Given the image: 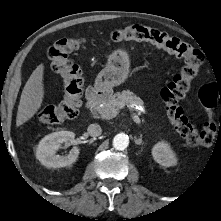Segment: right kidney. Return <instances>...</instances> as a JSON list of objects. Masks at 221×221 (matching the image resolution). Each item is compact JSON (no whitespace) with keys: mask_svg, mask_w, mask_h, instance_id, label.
I'll list each match as a JSON object with an SVG mask.
<instances>
[{"mask_svg":"<svg viewBox=\"0 0 221 221\" xmlns=\"http://www.w3.org/2000/svg\"><path fill=\"white\" fill-rule=\"evenodd\" d=\"M75 134L70 131H59L45 136L38 144L36 158L47 168H60L70 166L76 162L80 149L73 147L67 156L56 155V150L62 143L71 142Z\"/></svg>","mask_w":221,"mask_h":221,"instance_id":"1","label":"right kidney"}]
</instances>
